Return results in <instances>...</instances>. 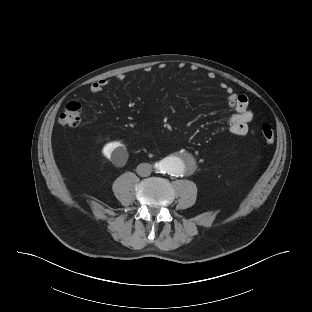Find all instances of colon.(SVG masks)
Here are the masks:
<instances>
[{
	"label": "colon",
	"mask_w": 312,
	"mask_h": 312,
	"mask_svg": "<svg viewBox=\"0 0 312 312\" xmlns=\"http://www.w3.org/2000/svg\"><path fill=\"white\" fill-rule=\"evenodd\" d=\"M81 105L76 101L69 102L59 116V123L63 126L76 127L81 120ZM261 135L268 144L274 142L275 134L272 127L264 122L261 125Z\"/></svg>",
	"instance_id": "colon-1"
}]
</instances>
